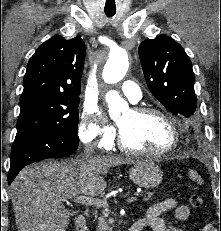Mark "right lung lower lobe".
Listing matches in <instances>:
<instances>
[{
  "mask_svg": "<svg viewBox=\"0 0 221 231\" xmlns=\"http://www.w3.org/2000/svg\"><path fill=\"white\" fill-rule=\"evenodd\" d=\"M78 143V136L62 132H36L13 143L8 183L28 164L47 158L70 156Z\"/></svg>",
  "mask_w": 221,
  "mask_h": 231,
  "instance_id": "1",
  "label": "right lung lower lobe"
}]
</instances>
